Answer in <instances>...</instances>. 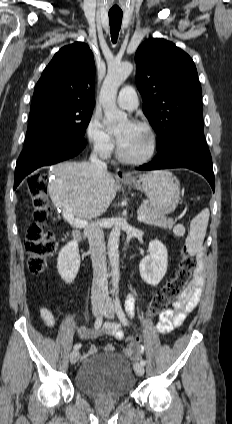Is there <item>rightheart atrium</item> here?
I'll return each instance as SVG.
<instances>
[{
	"label": "right heart atrium",
	"mask_w": 232,
	"mask_h": 424,
	"mask_svg": "<svg viewBox=\"0 0 232 424\" xmlns=\"http://www.w3.org/2000/svg\"><path fill=\"white\" fill-rule=\"evenodd\" d=\"M85 137L91 149L101 157L110 156L114 150L112 134L95 114L89 118L85 126Z\"/></svg>",
	"instance_id": "1"
}]
</instances>
